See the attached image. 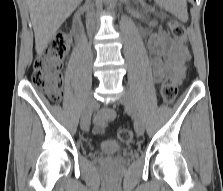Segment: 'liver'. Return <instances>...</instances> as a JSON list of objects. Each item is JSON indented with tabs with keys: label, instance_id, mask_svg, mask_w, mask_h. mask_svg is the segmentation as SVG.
I'll use <instances>...</instances> for the list:
<instances>
[{
	"label": "liver",
	"instance_id": "obj_1",
	"mask_svg": "<svg viewBox=\"0 0 223 191\" xmlns=\"http://www.w3.org/2000/svg\"><path fill=\"white\" fill-rule=\"evenodd\" d=\"M82 0H28L37 54H42L57 30Z\"/></svg>",
	"mask_w": 223,
	"mask_h": 191
}]
</instances>
